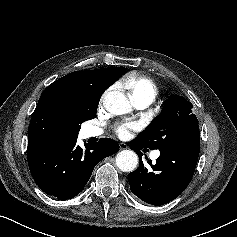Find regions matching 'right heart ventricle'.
<instances>
[{"instance_id": "1", "label": "right heart ventricle", "mask_w": 237, "mask_h": 237, "mask_svg": "<svg viewBox=\"0 0 237 237\" xmlns=\"http://www.w3.org/2000/svg\"><path fill=\"white\" fill-rule=\"evenodd\" d=\"M123 85L129 90L135 104L141 101L153 102L159 93L156 83L144 76H128Z\"/></svg>"}]
</instances>
